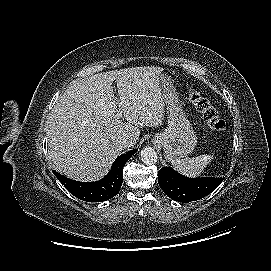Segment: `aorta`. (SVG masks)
I'll list each match as a JSON object with an SVG mask.
<instances>
[{
  "label": "aorta",
  "mask_w": 271,
  "mask_h": 271,
  "mask_svg": "<svg viewBox=\"0 0 271 271\" xmlns=\"http://www.w3.org/2000/svg\"><path fill=\"white\" fill-rule=\"evenodd\" d=\"M158 156L152 147H145L141 150V160L146 165H153L157 162Z\"/></svg>",
  "instance_id": "1"
}]
</instances>
